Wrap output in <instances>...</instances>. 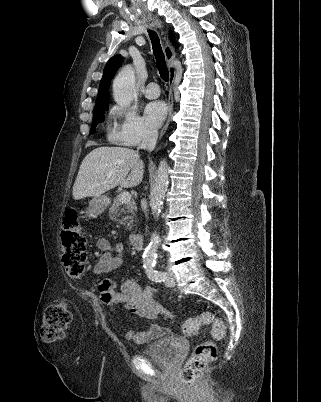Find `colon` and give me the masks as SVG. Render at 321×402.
Segmentation results:
<instances>
[{
	"label": "colon",
	"instance_id": "5ec220e1",
	"mask_svg": "<svg viewBox=\"0 0 321 402\" xmlns=\"http://www.w3.org/2000/svg\"><path fill=\"white\" fill-rule=\"evenodd\" d=\"M63 262L67 274L78 278L86 262V232L78 221L77 212L68 209L63 218L61 231ZM69 303L60 300L50 304L44 314L41 337L47 343L61 340L71 322ZM210 326L215 339H223L226 335V326L222 319L210 312H203L196 317L187 319L182 330L187 334L196 333L202 326ZM218 348L214 341L204 340L197 344L193 354L188 358L181 371L184 384L193 386L205 368L217 359Z\"/></svg>",
	"mask_w": 321,
	"mask_h": 402
}]
</instances>
